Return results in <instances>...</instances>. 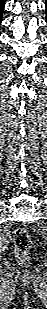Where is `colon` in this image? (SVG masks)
<instances>
[{
  "label": "colon",
  "mask_w": 47,
  "mask_h": 309,
  "mask_svg": "<svg viewBox=\"0 0 47 309\" xmlns=\"http://www.w3.org/2000/svg\"><path fill=\"white\" fill-rule=\"evenodd\" d=\"M13 242L17 258L21 262H26L32 247V240L28 231L23 227L17 228L14 232Z\"/></svg>",
  "instance_id": "obj_1"
}]
</instances>
